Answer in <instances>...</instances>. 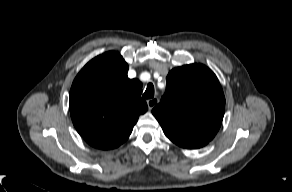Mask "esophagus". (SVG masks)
<instances>
[{
    "label": "esophagus",
    "mask_w": 292,
    "mask_h": 192,
    "mask_svg": "<svg viewBox=\"0 0 292 192\" xmlns=\"http://www.w3.org/2000/svg\"><path fill=\"white\" fill-rule=\"evenodd\" d=\"M158 102H159V100L157 97H154V98L147 100L148 108L150 110L153 109L158 104Z\"/></svg>",
    "instance_id": "34e87169"
}]
</instances>
